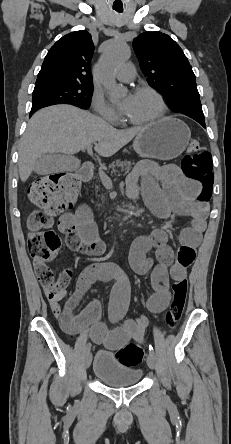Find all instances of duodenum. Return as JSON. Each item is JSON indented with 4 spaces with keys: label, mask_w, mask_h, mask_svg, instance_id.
<instances>
[{
    "label": "duodenum",
    "mask_w": 231,
    "mask_h": 444,
    "mask_svg": "<svg viewBox=\"0 0 231 444\" xmlns=\"http://www.w3.org/2000/svg\"><path fill=\"white\" fill-rule=\"evenodd\" d=\"M78 177L83 181H89L92 178V167L88 164L83 165L78 171ZM126 217H122L119 221L111 225L112 232L118 231L125 226ZM115 276L114 272H108L105 275V279H110Z\"/></svg>",
    "instance_id": "1"
}]
</instances>
